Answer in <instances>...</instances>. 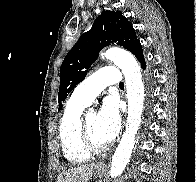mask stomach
<instances>
[{"instance_id": "0dacf381", "label": "stomach", "mask_w": 196, "mask_h": 182, "mask_svg": "<svg viewBox=\"0 0 196 182\" xmlns=\"http://www.w3.org/2000/svg\"><path fill=\"white\" fill-rule=\"evenodd\" d=\"M105 173V169L101 167L100 165L96 166V174L99 176H103Z\"/></svg>"}]
</instances>
